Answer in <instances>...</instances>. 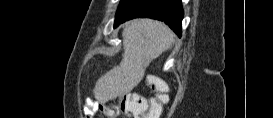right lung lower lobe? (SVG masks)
Masks as SVG:
<instances>
[{
	"label": "right lung lower lobe",
	"instance_id": "right-lung-lower-lobe-1",
	"mask_svg": "<svg viewBox=\"0 0 273 118\" xmlns=\"http://www.w3.org/2000/svg\"><path fill=\"white\" fill-rule=\"evenodd\" d=\"M184 16L181 0H125L119 5L114 27L138 17L164 21L178 36Z\"/></svg>",
	"mask_w": 273,
	"mask_h": 118
}]
</instances>
